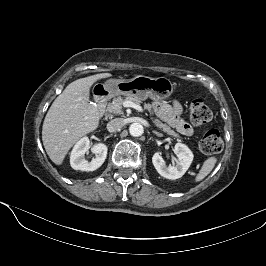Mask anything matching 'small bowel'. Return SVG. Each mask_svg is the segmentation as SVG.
Masks as SVG:
<instances>
[{"label":"small bowel","mask_w":266,"mask_h":266,"mask_svg":"<svg viewBox=\"0 0 266 266\" xmlns=\"http://www.w3.org/2000/svg\"><path fill=\"white\" fill-rule=\"evenodd\" d=\"M153 110L160 119L168 123L181 134L186 136L192 135L193 129L190 124L183 119V107L179 101L173 100L171 104L154 102Z\"/></svg>","instance_id":"1"}]
</instances>
